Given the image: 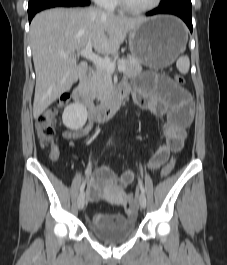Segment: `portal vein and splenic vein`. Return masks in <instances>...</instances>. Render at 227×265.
I'll list each match as a JSON object with an SVG mask.
<instances>
[{"label":"portal vein and splenic vein","instance_id":"18ae733b","mask_svg":"<svg viewBox=\"0 0 227 265\" xmlns=\"http://www.w3.org/2000/svg\"><path fill=\"white\" fill-rule=\"evenodd\" d=\"M79 54H81L83 57L89 59L93 63L97 65V67H101L106 69L110 73H114L115 71V63L111 62L110 60L103 59L99 55L93 53L92 51V44L88 43L84 49L79 51ZM64 58H67L68 56L63 54ZM118 70L121 72H124L126 70V67L124 65H119Z\"/></svg>","mask_w":227,"mask_h":265}]
</instances>
